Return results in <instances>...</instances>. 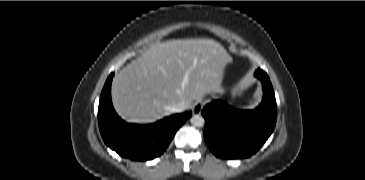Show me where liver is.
I'll return each mask as SVG.
<instances>
[{
  "label": "liver",
  "mask_w": 365,
  "mask_h": 180,
  "mask_svg": "<svg viewBox=\"0 0 365 180\" xmlns=\"http://www.w3.org/2000/svg\"><path fill=\"white\" fill-rule=\"evenodd\" d=\"M232 62L213 39H178L153 44L114 77L112 101L125 120L151 123L173 113L170 108L210 92L222 91L225 67Z\"/></svg>",
  "instance_id": "obj_1"
}]
</instances>
